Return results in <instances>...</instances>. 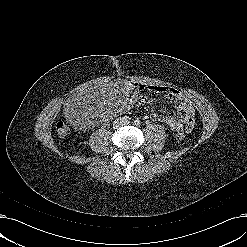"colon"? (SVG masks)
I'll return each instance as SVG.
<instances>
[{
  "label": "colon",
  "instance_id": "1",
  "mask_svg": "<svg viewBox=\"0 0 247 247\" xmlns=\"http://www.w3.org/2000/svg\"><path fill=\"white\" fill-rule=\"evenodd\" d=\"M70 132L69 126L64 121L56 123V133L59 137H66ZM175 137L177 140H183L185 133L183 131H176Z\"/></svg>",
  "mask_w": 247,
  "mask_h": 247
}]
</instances>
